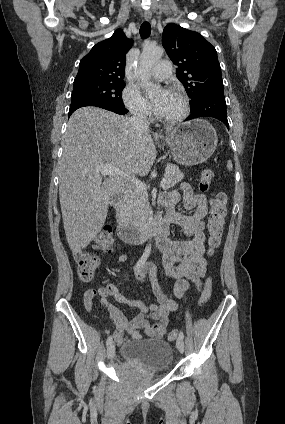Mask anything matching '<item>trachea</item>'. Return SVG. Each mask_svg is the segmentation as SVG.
<instances>
[{
  "instance_id": "1",
  "label": "trachea",
  "mask_w": 285,
  "mask_h": 424,
  "mask_svg": "<svg viewBox=\"0 0 285 424\" xmlns=\"http://www.w3.org/2000/svg\"><path fill=\"white\" fill-rule=\"evenodd\" d=\"M151 34V25L149 22H144L142 23L141 27H140V36L142 38H147L149 37Z\"/></svg>"
}]
</instances>
